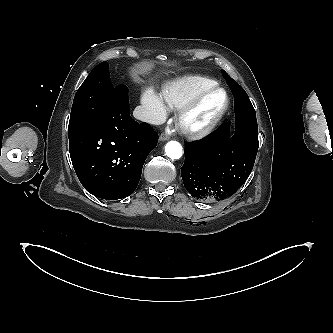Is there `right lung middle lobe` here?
<instances>
[{
    "instance_id": "obj_1",
    "label": "right lung middle lobe",
    "mask_w": 333,
    "mask_h": 333,
    "mask_svg": "<svg viewBox=\"0 0 333 333\" xmlns=\"http://www.w3.org/2000/svg\"><path fill=\"white\" fill-rule=\"evenodd\" d=\"M117 87L110 81L108 63L97 65L74 97L68 135H74L87 127L102 112Z\"/></svg>"
}]
</instances>
